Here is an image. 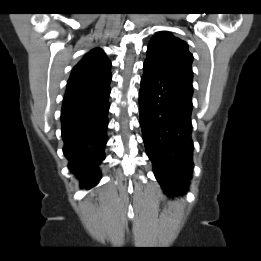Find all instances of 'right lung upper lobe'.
Returning a JSON list of instances; mask_svg holds the SVG:
<instances>
[{"label": "right lung upper lobe", "mask_w": 261, "mask_h": 261, "mask_svg": "<svg viewBox=\"0 0 261 261\" xmlns=\"http://www.w3.org/2000/svg\"><path fill=\"white\" fill-rule=\"evenodd\" d=\"M111 62L105 53L93 49L73 68L67 83L66 94L91 90L110 83Z\"/></svg>", "instance_id": "cb5924a9"}]
</instances>
